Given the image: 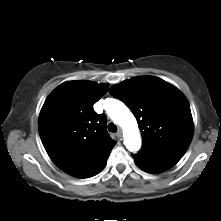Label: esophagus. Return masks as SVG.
Wrapping results in <instances>:
<instances>
[{
  "mask_svg": "<svg viewBox=\"0 0 221 221\" xmlns=\"http://www.w3.org/2000/svg\"><path fill=\"white\" fill-rule=\"evenodd\" d=\"M116 135L121 140L122 139V130L119 129Z\"/></svg>",
  "mask_w": 221,
  "mask_h": 221,
  "instance_id": "obj_1",
  "label": "esophagus"
}]
</instances>
